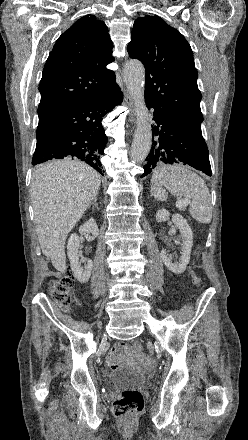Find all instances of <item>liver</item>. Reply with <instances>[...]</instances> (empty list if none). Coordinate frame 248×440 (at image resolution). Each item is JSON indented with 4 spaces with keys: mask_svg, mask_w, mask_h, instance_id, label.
Here are the masks:
<instances>
[{
    "mask_svg": "<svg viewBox=\"0 0 248 440\" xmlns=\"http://www.w3.org/2000/svg\"><path fill=\"white\" fill-rule=\"evenodd\" d=\"M101 177L79 160L65 158L35 167L31 202L42 253L60 273L66 270L65 242L98 193Z\"/></svg>",
    "mask_w": 248,
    "mask_h": 440,
    "instance_id": "1",
    "label": "liver"
}]
</instances>
